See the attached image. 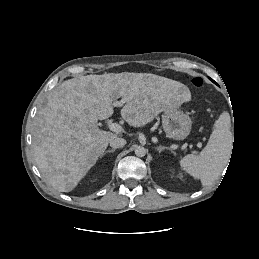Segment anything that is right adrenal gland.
Segmentation results:
<instances>
[{
  "label": "right adrenal gland",
  "mask_w": 259,
  "mask_h": 259,
  "mask_svg": "<svg viewBox=\"0 0 259 259\" xmlns=\"http://www.w3.org/2000/svg\"><path fill=\"white\" fill-rule=\"evenodd\" d=\"M115 150H116L115 148L106 150V151L103 153V155H105L106 153H113V152H115Z\"/></svg>",
  "instance_id": "right-adrenal-gland-1"
}]
</instances>
